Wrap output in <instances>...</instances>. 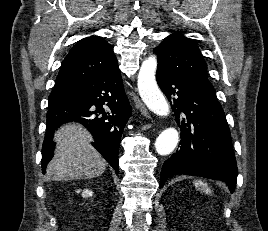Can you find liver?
Listing matches in <instances>:
<instances>
[{
    "mask_svg": "<svg viewBox=\"0 0 268 231\" xmlns=\"http://www.w3.org/2000/svg\"><path fill=\"white\" fill-rule=\"evenodd\" d=\"M92 137L81 125L65 124L54 135L56 149L47 166V176L55 181L91 179L106 169V161L90 145Z\"/></svg>",
    "mask_w": 268,
    "mask_h": 231,
    "instance_id": "6515ba94",
    "label": "liver"
}]
</instances>
